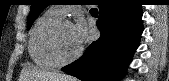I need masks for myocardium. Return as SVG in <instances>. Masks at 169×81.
<instances>
[{"label":"myocardium","instance_id":"obj_1","mask_svg":"<svg viewBox=\"0 0 169 81\" xmlns=\"http://www.w3.org/2000/svg\"><path fill=\"white\" fill-rule=\"evenodd\" d=\"M65 24H71V22L68 20L59 21L53 27V29L50 33V36H49V45H48L49 53L58 65L69 64V63L73 62L74 60H76L82 53V46H80L79 49L70 57L64 58L60 54L59 49H58V37H59L60 29Z\"/></svg>","mask_w":169,"mask_h":81}]
</instances>
